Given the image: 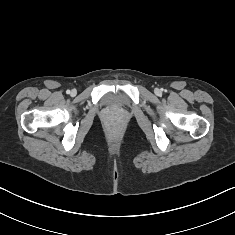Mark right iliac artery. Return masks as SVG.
I'll return each instance as SVG.
<instances>
[{"instance_id": "82829eb1", "label": "right iliac artery", "mask_w": 235, "mask_h": 235, "mask_svg": "<svg viewBox=\"0 0 235 235\" xmlns=\"http://www.w3.org/2000/svg\"><path fill=\"white\" fill-rule=\"evenodd\" d=\"M66 93H67V94H70V90H67Z\"/></svg>"}]
</instances>
